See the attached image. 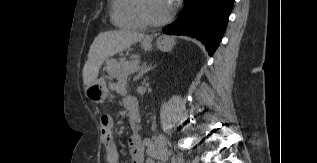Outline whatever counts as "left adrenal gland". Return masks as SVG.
Segmentation results:
<instances>
[{
    "label": "left adrenal gland",
    "instance_id": "obj_1",
    "mask_svg": "<svg viewBox=\"0 0 317 163\" xmlns=\"http://www.w3.org/2000/svg\"><path fill=\"white\" fill-rule=\"evenodd\" d=\"M154 67L155 65H147V62H144L134 80H139L144 74L148 73V71L152 70Z\"/></svg>",
    "mask_w": 317,
    "mask_h": 163
}]
</instances>
